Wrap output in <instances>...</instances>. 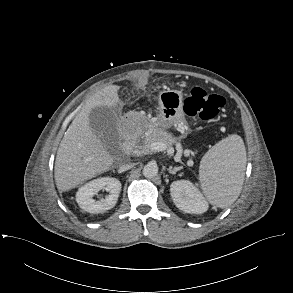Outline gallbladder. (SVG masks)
Listing matches in <instances>:
<instances>
[{
  "label": "gallbladder",
  "instance_id": "gallbladder-1",
  "mask_svg": "<svg viewBox=\"0 0 293 293\" xmlns=\"http://www.w3.org/2000/svg\"><path fill=\"white\" fill-rule=\"evenodd\" d=\"M92 131L102 137L104 142H112L117 139L116 124L117 115L107 106L93 108L89 115Z\"/></svg>",
  "mask_w": 293,
  "mask_h": 293
}]
</instances>
